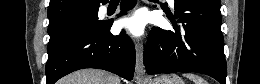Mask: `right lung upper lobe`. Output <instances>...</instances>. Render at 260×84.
Segmentation results:
<instances>
[{"label":"right lung upper lobe","mask_w":260,"mask_h":84,"mask_svg":"<svg viewBox=\"0 0 260 84\" xmlns=\"http://www.w3.org/2000/svg\"><path fill=\"white\" fill-rule=\"evenodd\" d=\"M103 0H50L49 26L53 28L77 17L98 12Z\"/></svg>","instance_id":"obj_1"}]
</instances>
